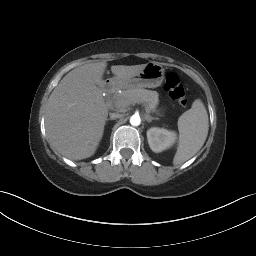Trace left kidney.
<instances>
[{
  "label": "left kidney",
  "instance_id": "5707ae66",
  "mask_svg": "<svg viewBox=\"0 0 256 256\" xmlns=\"http://www.w3.org/2000/svg\"><path fill=\"white\" fill-rule=\"evenodd\" d=\"M147 139L152 151L158 153L174 144L176 133L164 128L152 127L147 131Z\"/></svg>",
  "mask_w": 256,
  "mask_h": 256
}]
</instances>
